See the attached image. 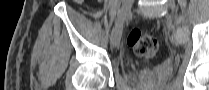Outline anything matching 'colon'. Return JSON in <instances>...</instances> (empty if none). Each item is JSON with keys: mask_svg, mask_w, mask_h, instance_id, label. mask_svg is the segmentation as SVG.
Segmentation results:
<instances>
[{"mask_svg": "<svg viewBox=\"0 0 209 90\" xmlns=\"http://www.w3.org/2000/svg\"><path fill=\"white\" fill-rule=\"evenodd\" d=\"M127 43L138 56L146 59L155 57L159 51L158 41L152 35L136 28L129 31Z\"/></svg>", "mask_w": 209, "mask_h": 90, "instance_id": "1", "label": "colon"}]
</instances>
